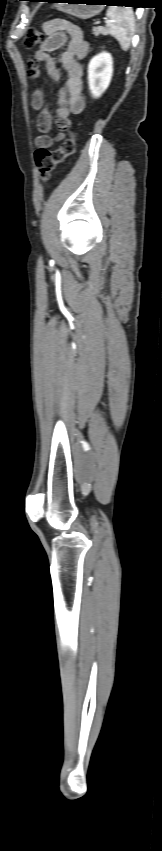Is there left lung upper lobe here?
I'll use <instances>...</instances> for the list:
<instances>
[{"label": "left lung upper lobe", "mask_w": 162, "mask_h": 851, "mask_svg": "<svg viewBox=\"0 0 162 851\" xmlns=\"http://www.w3.org/2000/svg\"><path fill=\"white\" fill-rule=\"evenodd\" d=\"M27 1H37V0H27Z\"/></svg>", "instance_id": "left-lung-upper-lobe-1"}]
</instances>
